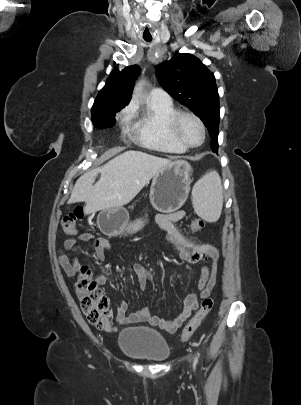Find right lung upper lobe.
Returning a JSON list of instances; mask_svg holds the SVG:
<instances>
[{
  "mask_svg": "<svg viewBox=\"0 0 301 405\" xmlns=\"http://www.w3.org/2000/svg\"><path fill=\"white\" fill-rule=\"evenodd\" d=\"M140 71L137 65L125 67L121 72L113 70L106 85L99 92L93 108L118 110L126 106L131 99L135 80Z\"/></svg>",
  "mask_w": 301,
  "mask_h": 405,
  "instance_id": "obj_1",
  "label": "right lung upper lobe"
}]
</instances>
